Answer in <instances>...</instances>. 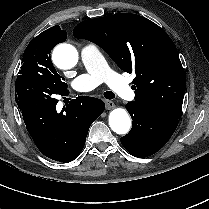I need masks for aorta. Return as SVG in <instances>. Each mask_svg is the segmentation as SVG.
I'll return each mask as SVG.
<instances>
[{
  "mask_svg": "<svg viewBox=\"0 0 209 209\" xmlns=\"http://www.w3.org/2000/svg\"><path fill=\"white\" fill-rule=\"evenodd\" d=\"M53 61L61 69L74 67L78 61V52L71 44L63 43L53 51ZM109 126L117 134H126L131 128V119L127 111L116 108L109 114Z\"/></svg>",
  "mask_w": 209,
  "mask_h": 209,
  "instance_id": "762f6f07",
  "label": "aorta"
}]
</instances>
